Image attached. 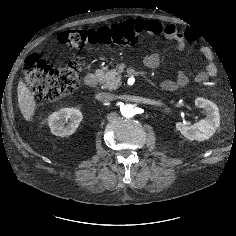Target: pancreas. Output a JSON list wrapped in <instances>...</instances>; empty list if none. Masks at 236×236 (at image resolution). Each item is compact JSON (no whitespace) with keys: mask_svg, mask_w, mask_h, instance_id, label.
I'll list each match as a JSON object with an SVG mask.
<instances>
[{"mask_svg":"<svg viewBox=\"0 0 236 236\" xmlns=\"http://www.w3.org/2000/svg\"><path fill=\"white\" fill-rule=\"evenodd\" d=\"M124 64L111 70H102L99 75V82L103 89L115 90L121 85V73L124 72Z\"/></svg>","mask_w":236,"mask_h":236,"instance_id":"obj_1","label":"pancreas"}]
</instances>
